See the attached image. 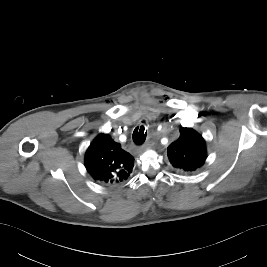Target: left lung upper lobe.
<instances>
[{"mask_svg":"<svg viewBox=\"0 0 267 267\" xmlns=\"http://www.w3.org/2000/svg\"><path fill=\"white\" fill-rule=\"evenodd\" d=\"M167 155L179 173H195L207 158L205 141L194 129L181 127L180 136L168 146Z\"/></svg>","mask_w":267,"mask_h":267,"instance_id":"left-lung-upper-lobe-1","label":"left lung upper lobe"}]
</instances>
